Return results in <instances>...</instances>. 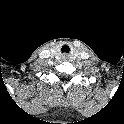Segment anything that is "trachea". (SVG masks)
<instances>
[{"label": "trachea", "mask_w": 124, "mask_h": 124, "mask_svg": "<svg viewBox=\"0 0 124 124\" xmlns=\"http://www.w3.org/2000/svg\"><path fill=\"white\" fill-rule=\"evenodd\" d=\"M61 51L62 53H69L70 47L68 45H63Z\"/></svg>", "instance_id": "1"}]
</instances>
